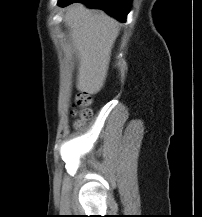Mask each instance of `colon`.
<instances>
[{
  "instance_id": "colon-1",
  "label": "colon",
  "mask_w": 202,
  "mask_h": 217,
  "mask_svg": "<svg viewBox=\"0 0 202 217\" xmlns=\"http://www.w3.org/2000/svg\"><path fill=\"white\" fill-rule=\"evenodd\" d=\"M92 102V98L87 93H78L74 102V115L76 116V120L74 126L76 129H81L85 125L86 121L90 119L92 112L90 109V105Z\"/></svg>"
}]
</instances>
